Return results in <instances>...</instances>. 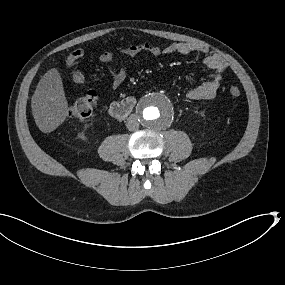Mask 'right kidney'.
Segmentation results:
<instances>
[{
  "label": "right kidney",
  "instance_id": "1",
  "mask_svg": "<svg viewBox=\"0 0 285 285\" xmlns=\"http://www.w3.org/2000/svg\"><path fill=\"white\" fill-rule=\"evenodd\" d=\"M79 137L81 138V139H86V137H85V135L83 134V133H81L80 135H79Z\"/></svg>",
  "mask_w": 285,
  "mask_h": 285
}]
</instances>
